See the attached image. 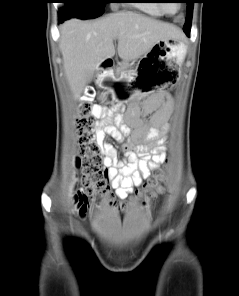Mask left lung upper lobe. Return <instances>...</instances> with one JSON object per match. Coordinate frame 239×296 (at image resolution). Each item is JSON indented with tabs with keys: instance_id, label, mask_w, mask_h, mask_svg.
<instances>
[{
	"instance_id": "5c2ea615",
	"label": "left lung upper lobe",
	"mask_w": 239,
	"mask_h": 296,
	"mask_svg": "<svg viewBox=\"0 0 239 296\" xmlns=\"http://www.w3.org/2000/svg\"><path fill=\"white\" fill-rule=\"evenodd\" d=\"M186 3H187V15H186V21H185L184 27L190 29L194 2L193 0H186Z\"/></svg>"
}]
</instances>
